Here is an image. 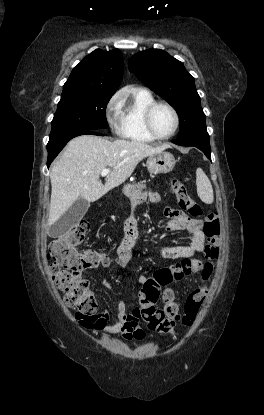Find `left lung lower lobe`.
Returning a JSON list of instances; mask_svg holds the SVG:
<instances>
[{"mask_svg":"<svg viewBox=\"0 0 264 415\" xmlns=\"http://www.w3.org/2000/svg\"><path fill=\"white\" fill-rule=\"evenodd\" d=\"M180 146H194L200 149L211 160V148L207 132L195 133L172 141Z\"/></svg>","mask_w":264,"mask_h":415,"instance_id":"obj_1","label":"left lung lower lobe"}]
</instances>
